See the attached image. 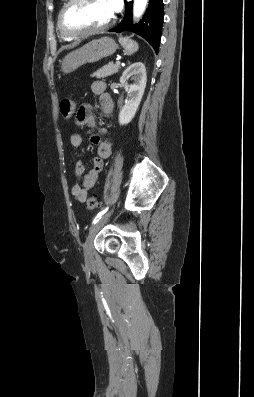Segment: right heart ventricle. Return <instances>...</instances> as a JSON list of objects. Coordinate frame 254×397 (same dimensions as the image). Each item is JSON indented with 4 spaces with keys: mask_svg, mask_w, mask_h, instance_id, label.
Masks as SVG:
<instances>
[{
    "mask_svg": "<svg viewBox=\"0 0 254 397\" xmlns=\"http://www.w3.org/2000/svg\"><path fill=\"white\" fill-rule=\"evenodd\" d=\"M61 35H62L63 39H65V40H67V41H70V40L73 39V38H70V37H67V36L63 35L62 33H61Z\"/></svg>",
    "mask_w": 254,
    "mask_h": 397,
    "instance_id": "e07e8e85",
    "label": "right heart ventricle"
}]
</instances>
